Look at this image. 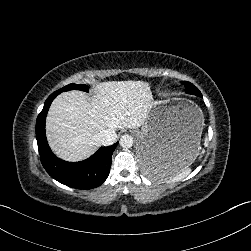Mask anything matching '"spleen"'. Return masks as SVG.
Masks as SVG:
<instances>
[{
	"mask_svg": "<svg viewBox=\"0 0 251 251\" xmlns=\"http://www.w3.org/2000/svg\"><path fill=\"white\" fill-rule=\"evenodd\" d=\"M209 145V139H208V134H204V140H203V146L204 148L200 149V153L198 156V161L202 159L204 156L206 150L205 148L208 147ZM192 169L190 167V164H186L182 167L181 171H178L177 173H168L164 171L163 168L153 164L149 168V174L148 177L151 179H163L164 183L168 182H178L183 180L185 177H187L191 173Z\"/></svg>",
	"mask_w": 251,
	"mask_h": 251,
	"instance_id": "3e777b00",
	"label": "spleen"
}]
</instances>
